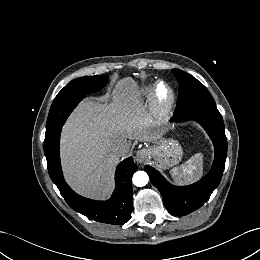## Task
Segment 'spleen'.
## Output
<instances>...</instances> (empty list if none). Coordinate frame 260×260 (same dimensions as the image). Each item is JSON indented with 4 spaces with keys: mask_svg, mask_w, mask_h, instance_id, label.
Returning a JSON list of instances; mask_svg holds the SVG:
<instances>
[{
    "mask_svg": "<svg viewBox=\"0 0 260 260\" xmlns=\"http://www.w3.org/2000/svg\"><path fill=\"white\" fill-rule=\"evenodd\" d=\"M171 175L176 183H192L203 175V154L192 156L186 163L174 168Z\"/></svg>",
    "mask_w": 260,
    "mask_h": 260,
    "instance_id": "3e777b00",
    "label": "spleen"
}]
</instances>
